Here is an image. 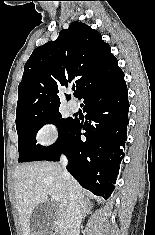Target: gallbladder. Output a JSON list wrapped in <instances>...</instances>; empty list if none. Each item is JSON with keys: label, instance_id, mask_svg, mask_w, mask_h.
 Here are the masks:
<instances>
[{"label": "gallbladder", "instance_id": "bac80fb5", "mask_svg": "<svg viewBox=\"0 0 155 235\" xmlns=\"http://www.w3.org/2000/svg\"><path fill=\"white\" fill-rule=\"evenodd\" d=\"M58 214V207L50 202L40 203L34 209L30 228L33 235H47L55 222Z\"/></svg>", "mask_w": 155, "mask_h": 235}]
</instances>
